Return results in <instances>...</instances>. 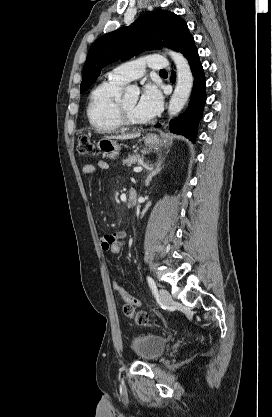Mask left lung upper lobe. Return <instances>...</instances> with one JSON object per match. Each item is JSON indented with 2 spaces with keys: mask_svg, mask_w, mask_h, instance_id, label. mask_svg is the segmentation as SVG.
<instances>
[{
  "mask_svg": "<svg viewBox=\"0 0 272 417\" xmlns=\"http://www.w3.org/2000/svg\"><path fill=\"white\" fill-rule=\"evenodd\" d=\"M162 46L173 48L184 56L195 47L186 22L164 10L148 11L130 26L100 37L89 49L80 92L95 82L104 66Z\"/></svg>",
  "mask_w": 272,
  "mask_h": 417,
  "instance_id": "left-lung-upper-lobe-1",
  "label": "left lung upper lobe"
}]
</instances>
